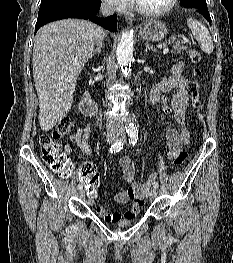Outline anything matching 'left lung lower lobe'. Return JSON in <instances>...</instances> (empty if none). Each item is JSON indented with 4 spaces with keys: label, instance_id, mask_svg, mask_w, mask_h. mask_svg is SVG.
<instances>
[{
    "label": "left lung lower lobe",
    "instance_id": "obj_1",
    "mask_svg": "<svg viewBox=\"0 0 233 263\" xmlns=\"http://www.w3.org/2000/svg\"><path fill=\"white\" fill-rule=\"evenodd\" d=\"M195 10L200 12L209 21V23L211 24V17H210V14H209L208 10H207V7L195 8Z\"/></svg>",
    "mask_w": 233,
    "mask_h": 263
}]
</instances>
